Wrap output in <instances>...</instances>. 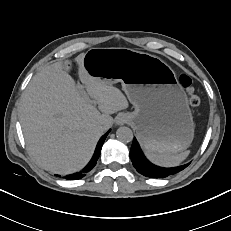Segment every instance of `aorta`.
<instances>
[{"label": "aorta", "mask_w": 231, "mask_h": 231, "mask_svg": "<svg viewBox=\"0 0 231 231\" xmlns=\"http://www.w3.org/2000/svg\"><path fill=\"white\" fill-rule=\"evenodd\" d=\"M116 136L119 141L129 143L133 140V132L129 127L123 126L117 129Z\"/></svg>", "instance_id": "obj_1"}]
</instances>
